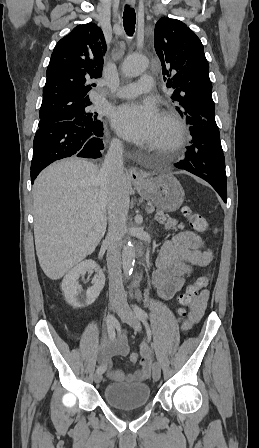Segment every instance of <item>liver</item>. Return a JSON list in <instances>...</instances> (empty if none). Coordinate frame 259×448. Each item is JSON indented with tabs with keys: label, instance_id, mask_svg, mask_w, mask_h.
Masks as SVG:
<instances>
[{
	"label": "liver",
	"instance_id": "obj_1",
	"mask_svg": "<svg viewBox=\"0 0 259 448\" xmlns=\"http://www.w3.org/2000/svg\"><path fill=\"white\" fill-rule=\"evenodd\" d=\"M36 254L50 280H59L93 254L107 226V192L99 168L85 158H65L45 168L33 184Z\"/></svg>",
	"mask_w": 259,
	"mask_h": 448
}]
</instances>
